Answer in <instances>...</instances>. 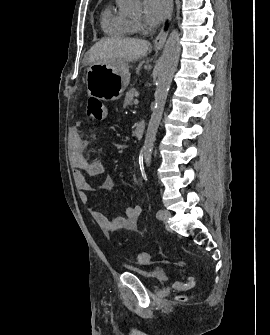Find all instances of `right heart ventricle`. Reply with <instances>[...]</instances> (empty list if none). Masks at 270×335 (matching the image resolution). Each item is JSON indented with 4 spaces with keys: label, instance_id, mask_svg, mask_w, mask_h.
<instances>
[{
    "label": "right heart ventricle",
    "instance_id": "1",
    "mask_svg": "<svg viewBox=\"0 0 270 335\" xmlns=\"http://www.w3.org/2000/svg\"><path fill=\"white\" fill-rule=\"evenodd\" d=\"M101 27L109 36H127L134 32V22L118 13L110 5L102 11Z\"/></svg>",
    "mask_w": 270,
    "mask_h": 335
}]
</instances>
